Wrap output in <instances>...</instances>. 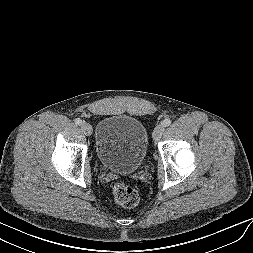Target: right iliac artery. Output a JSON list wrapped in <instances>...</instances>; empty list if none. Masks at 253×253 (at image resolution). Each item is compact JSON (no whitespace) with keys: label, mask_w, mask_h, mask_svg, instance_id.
<instances>
[{"label":"right iliac artery","mask_w":253,"mask_h":253,"mask_svg":"<svg viewBox=\"0 0 253 253\" xmlns=\"http://www.w3.org/2000/svg\"><path fill=\"white\" fill-rule=\"evenodd\" d=\"M74 122H75L76 125H81L82 124V120L80 118H76L74 120Z\"/></svg>","instance_id":"82829eb1"}]
</instances>
